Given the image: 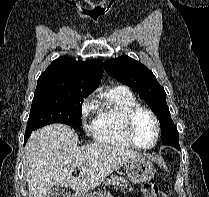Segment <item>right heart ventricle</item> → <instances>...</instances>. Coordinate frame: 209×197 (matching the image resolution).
I'll list each match as a JSON object with an SVG mask.
<instances>
[{
  "mask_svg": "<svg viewBox=\"0 0 209 197\" xmlns=\"http://www.w3.org/2000/svg\"><path fill=\"white\" fill-rule=\"evenodd\" d=\"M136 104L137 98L127 87L117 86L107 90L97 103V115L92 122L96 140L118 147H132L124 122L127 111Z\"/></svg>",
  "mask_w": 209,
  "mask_h": 197,
  "instance_id": "e07e8e85",
  "label": "right heart ventricle"
}]
</instances>
